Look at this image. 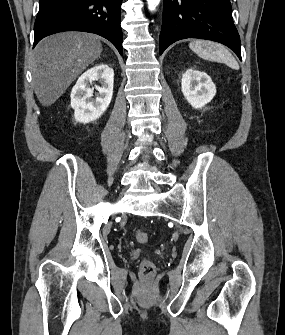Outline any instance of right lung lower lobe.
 Returning a JSON list of instances; mask_svg holds the SVG:
<instances>
[{"label":"right lung lower lobe","mask_w":285,"mask_h":335,"mask_svg":"<svg viewBox=\"0 0 285 335\" xmlns=\"http://www.w3.org/2000/svg\"><path fill=\"white\" fill-rule=\"evenodd\" d=\"M122 0H39L34 46L44 37L64 31L98 34L122 55Z\"/></svg>","instance_id":"right-lung-lower-lobe-1"}]
</instances>
